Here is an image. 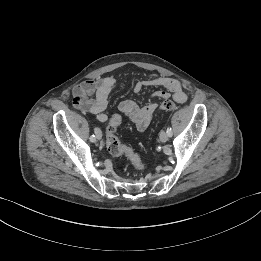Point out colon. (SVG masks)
Wrapping results in <instances>:
<instances>
[{
    "mask_svg": "<svg viewBox=\"0 0 261 261\" xmlns=\"http://www.w3.org/2000/svg\"><path fill=\"white\" fill-rule=\"evenodd\" d=\"M176 109L177 105L170 100L162 102L158 107L160 112H171ZM121 121L122 119L120 115H113L106 127L107 150L114 156H125L135 169L142 170L144 165L140 156L130 147L123 145L116 136V131L121 124Z\"/></svg>",
    "mask_w": 261,
    "mask_h": 261,
    "instance_id": "colon-1",
    "label": "colon"
}]
</instances>
